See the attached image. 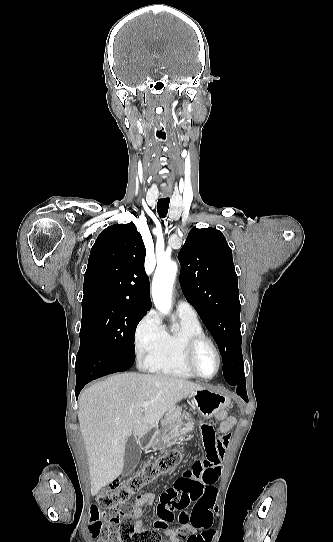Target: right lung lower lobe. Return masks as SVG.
<instances>
[{"label": "right lung lower lobe", "instance_id": "obj_1", "mask_svg": "<svg viewBox=\"0 0 333 542\" xmlns=\"http://www.w3.org/2000/svg\"><path fill=\"white\" fill-rule=\"evenodd\" d=\"M132 362L115 357L109 350L93 341H85L76 357V399L82 388L102 376L128 370Z\"/></svg>", "mask_w": 333, "mask_h": 542}]
</instances>
